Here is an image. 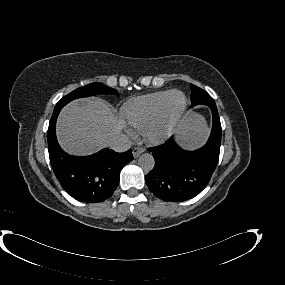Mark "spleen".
Here are the masks:
<instances>
[{
    "instance_id": "1",
    "label": "spleen",
    "mask_w": 285,
    "mask_h": 285,
    "mask_svg": "<svg viewBox=\"0 0 285 285\" xmlns=\"http://www.w3.org/2000/svg\"><path fill=\"white\" fill-rule=\"evenodd\" d=\"M199 121H200V123L205 125L204 119L202 117H199Z\"/></svg>"
}]
</instances>
